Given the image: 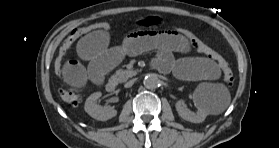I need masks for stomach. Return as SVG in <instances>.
<instances>
[{"instance_id": "0dacf381", "label": "stomach", "mask_w": 279, "mask_h": 148, "mask_svg": "<svg viewBox=\"0 0 279 148\" xmlns=\"http://www.w3.org/2000/svg\"><path fill=\"white\" fill-rule=\"evenodd\" d=\"M133 25L139 31H161L166 27L167 20L158 13L139 14L134 18Z\"/></svg>"}]
</instances>
